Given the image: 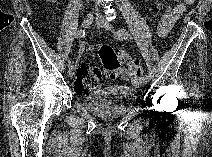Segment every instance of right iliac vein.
<instances>
[{
    "instance_id": "right-iliac-vein-1",
    "label": "right iliac vein",
    "mask_w": 212,
    "mask_h": 157,
    "mask_svg": "<svg viewBox=\"0 0 212 157\" xmlns=\"http://www.w3.org/2000/svg\"><path fill=\"white\" fill-rule=\"evenodd\" d=\"M94 20V16L93 14L89 13L87 14V16L84 18L83 22H82V27L83 28H88L92 22ZM75 73V68L72 66V67H69V70H68V75L70 77H72Z\"/></svg>"
}]
</instances>
